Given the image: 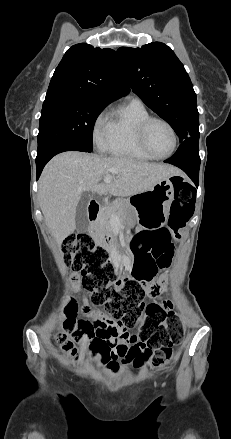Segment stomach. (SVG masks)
<instances>
[{"instance_id": "0dacf381", "label": "stomach", "mask_w": 231, "mask_h": 439, "mask_svg": "<svg viewBox=\"0 0 231 439\" xmlns=\"http://www.w3.org/2000/svg\"><path fill=\"white\" fill-rule=\"evenodd\" d=\"M174 177L180 176H171L160 181L150 190L131 197V207L146 228H157L165 224L174 199L175 182L182 180Z\"/></svg>"}]
</instances>
